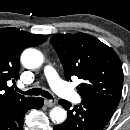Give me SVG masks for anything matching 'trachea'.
<instances>
[{
  "instance_id": "obj_1",
  "label": "trachea",
  "mask_w": 130,
  "mask_h": 130,
  "mask_svg": "<svg viewBox=\"0 0 130 130\" xmlns=\"http://www.w3.org/2000/svg\"><path fill=\"white\" fill-rule=\"evenodd\" d=\"M17 91L21 94L28 95V96H39V95H41L42 97H45V98H48V99H53V96L49 92H47V91H45L41 88H33V89L28 90V91H22L20 89H17Z\"/></svg>"
}]
</instances>
